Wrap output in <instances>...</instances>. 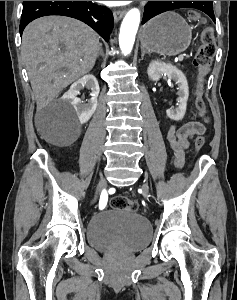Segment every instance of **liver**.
Listing matches in <instances>:
<instances>
[{"instance_id":"obj_1","label":"liver","mask_w":237,"mask_h":300,"mask_svg":"<svg viewBox=\"0 0 237 300\" xmlns=\"http://www.w3.org/2000/svg\"><path fill=\"white\" fill-rule=\"evenodd\" d=\"M100 45L93 29L70 17H41L29 23L23 31L22 57L36 101L56 97L89 73Z\"/></svg>"}]
</instances>
